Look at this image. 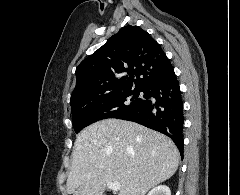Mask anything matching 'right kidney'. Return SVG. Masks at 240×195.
Listing matches in <instances>:
<instances>
[{"instance_id":"right-kidney-1","label":"right kidney","mask_w":240,"mask_h":195,"mask_svg":"<svg viewBox=\"0 0 240 195\" xmlns=\"http://www.w3.org/2000/svg\"><path fill=\"white\" fill-rule=\"evenodd\" d=\"M147 195H171V191L168 185H157V187H153Z\"/></svg>"}]
</instances>
